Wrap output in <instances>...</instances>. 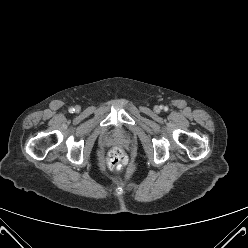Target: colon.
Returning a JSON list of instances; mask_svg holds the SVG:
<instances>
[{
	"label": "colon",
	"instance_id": "5ec220e1",
	"mask_svg": "<svg viewBox=\"0 0 248 248\" xmlns=\"http://www.w3.org/2000/svg\"><path fill=\"white\" fill-rule=\"evenodd\" d=\"M126 164V155L121 148H114L109 152L108 165L112 169L120 170Z\"/></svg>",
	"mask_w": 248,
	"mask_h": 248
}]
</instances>
